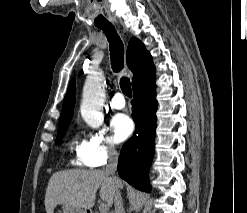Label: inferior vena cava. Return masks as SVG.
Returning a JSON list of instances; mask_svg holds the SVG:
<instances>
[{
	"label": "inferior vena cava",
	"instance_id": "inferior-vena-cava-1",
	"mask_svg": "<svg viewBox=\"0 0 247 213\" xmlns=\"http://www.w3.org/2000/svg\"><path fill=\"white\" fill-rule=\"evenodd\" d=\"M117 163H118V153L114 147L108 148V164L106 166V173L110 174L112 180L115 183V190H114V213H125L122 204L121 193L119 188L121 186V182L119 178L115 175L117 170Z\"/></svg>",
	"mask_w": 247,
	"mask_h": 213
}]
</instances>
